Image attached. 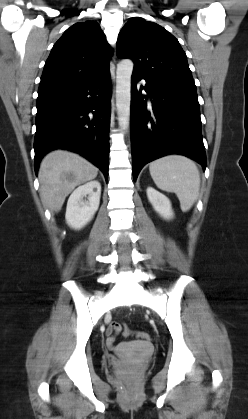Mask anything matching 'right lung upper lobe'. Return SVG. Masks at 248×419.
<instances>
[{
	"instance_id": "right-lung-upper-lobe-1",
	"label": "right lung upper lobe",
	"mask_w": 248,
	"mask_h": 419,
	"mask_svg": "<svg viewBox=\"0 0 248 419\" xmlns=\"http://www.w3.org/2000/svg\"><path fill=\"white\" fill-rule=\"evenodd\" d=\"M111 55L112 49L96 22L76 23L53 46L39 89L93 79L109 69Z\"/></svg>"
}]
</instances>
